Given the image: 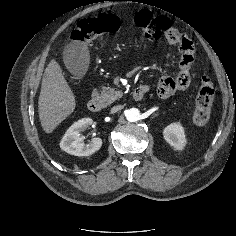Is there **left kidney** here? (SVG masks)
<instances>
[{
  "instance_id": "1",
  "label": "left kidney",
  "mask_w": 236,
  "mask_h": 236,
  "mask_svg": "<svg viewBox=\"0 0 236 236\" xmlns=\"http://www.w3.org/2000/svg\"><path fill=\"white\" fill-rule=\"evenodd\" d=\"M163 134L164 139L175 149L182 150L185 147L186 138L183 127L180 124H170L164 129Z\"/></svg>"
}]
</instances>
